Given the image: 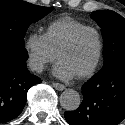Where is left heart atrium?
<instances>
[{"mask_svg":"<svg viewBox=\"0 0 125 125\" xmlns=\"http://www.w3.org/2000/svg\"><path fill=\"white\" fill-rule=\"evenodd\" d=\"M53 74L63 80H70L74 77V74L70 71V69L62 62L59 61L53 70Z\"/></svg>","mask_w":125,"mask_h":125,"instance_id":"39dd6f15","label":"left heart atrium"}]
</instances>
